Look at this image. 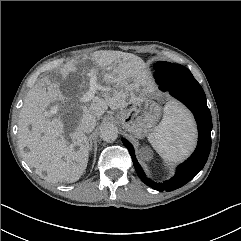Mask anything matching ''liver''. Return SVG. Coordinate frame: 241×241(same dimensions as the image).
Wrapping results in <instances>:
<instances>
[{"label":"liver","mask_w":241,"mask_h":241,"mask_svg":"<svg viewBox=\"0 0 241 241\" xmlns=\"http://www.w3.org/2000/svg\"><path fill=\"white\" fill-rule=\"evenodd\" d=\"M91 60L93 67L88 73L83 71L80 74L82 82L75 96L63 95L57 83L46 81V86L41 82L28 92L20 110L18 143L23 158L30 167L36 168L37 173L46 171V179L53 183H73L79 180L87 167L89 141L79 127L82 116L92 114L100 118L108 107L123 109L137 101L143 94L141 87L148 84L145 64L138 56L120 51H101ZM77 70L75 63L65 65L62 83L67 85ZM97 90L101 91L103 98L94 96ZM88 94H92L89 100L86 99ZM74 98L84 104L73 112L76 128L70 134L72 143L69 144L62 135L64 124L60 116L51 119L45 109L55 101H61L65 106ZM72 107L63 112L72 113ZM24 148L28 151H23Z\"/></svg>","instance_id":"1"}]
</instances>
